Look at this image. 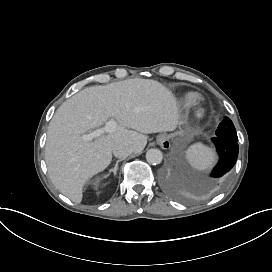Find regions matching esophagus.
I'll return each mask as SVG.
<instances>
[{
    "label": "esophagus",
    "mask_w": 272,
    "mask_h": 272,
    "mask_svg": "<svg viewBox=\"0 0 272 272\" xmlns=\"http://www.w3.org/2000/svg\"><path fill=\"white\" fill-rule=\"evenodd\" d=\"M157 142L163 149H168L171 146L170 141L167 139L166 135H162Z\"/></svg>",
    "instance_id": "esophagus-1"
}]
</instances>
